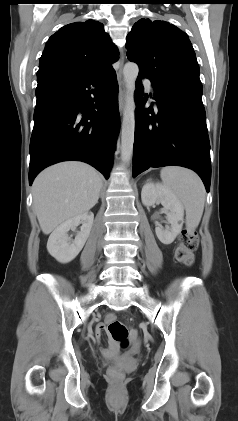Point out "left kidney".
Segmentation results:
<instances>
[{"label":"left kidney","mask_w":238,"mask_h":421,"mask_svg":"<svg viewBox=\"0 0 238 421\" xmlns=\"http://www.w3.org/2000/svg\"><path fill=\"white\" fill-rule=\"evenodd\" d=\"M142 203L151 206L160 202L167 211V223L163 228L161 225L155 228L156 235L161 243L171 244L181 232L183 226L184 209L177 197L162 184L146 183L141 191Z\"/></svg>","instance_id":"1"}]
</instances>
